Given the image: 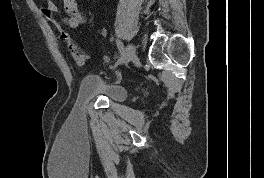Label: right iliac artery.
<instances>
[{
    "label": "right iliac artery",
    "mask_w": 264,
    "mask_h": 178,
    "mask_svg": "<svg viewBox=\"0 0 264 178\" xmlns=\"http://www.w3.org/2000/svg\"><path fill=\"white\" fill-rule=\"evenodd\" d=\"M116 45H117V48H118V50H119L120 54L122 55V54H123V52H124V47H123V44H122V42H121V41H119V40H116Z\"/></svg>",
    "instance_id": "obj_1"
}]
</instances>
